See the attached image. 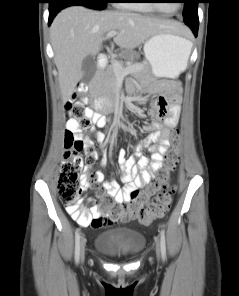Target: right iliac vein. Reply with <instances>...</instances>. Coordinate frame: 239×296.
Masks as SVG:
<instances>
[{"label": "right iliac vein", "instance_id": "obj_1", "mask_svg": "<svg viewBox=\"0 0 239 296\" xmlns=\"http://www.w3.org/2000/svg\"><path fill=\"white\" fill-rule=\"evenodd\" d=\"M84 245H85V241L82 240V241H81V251H80V253H81V259H82V260H83V258H84Z\"/></svg>", "mask_w": 239, "mask_h": 296}]
</instances>
